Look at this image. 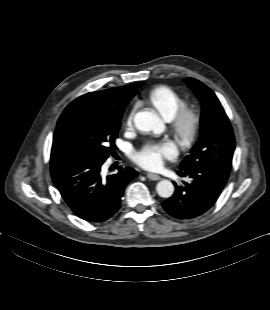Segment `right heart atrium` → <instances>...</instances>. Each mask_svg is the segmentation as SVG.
<instances>
[{
  "mask_svg": "<svg viewBox=\"0 0 270 310\" xmlns=\"http://www.w3.org/2000/svg\"><path fill=\"white\" fill-rule=\"evenodd\" d=\"M134 112H135V109L133 108V109L129 112L128 116H127L126 125H127L128 127H131V125H132Z\"/></svg>",
  "mask_w": 270,
  "mask_h": 310,
  "instance_id": "obj_1",
  "label": "right heart atrium"
}]
</instances>
